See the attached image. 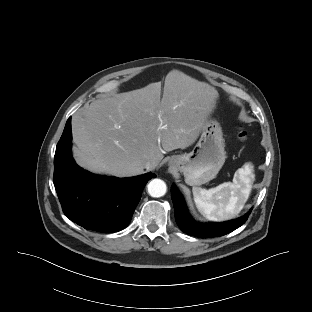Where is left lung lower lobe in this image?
<instances>
[{"instance_id": "left-lung-lower-lobe-1", "label": "left lung lower lobe", "mask_w": 312, "mask_h": 312, "mask_svg": "<svg viewBox=\"0 0 312 312\" xmlns=\"http://www.w3.org/2000/svg\"><path fill=\"white\" fill-rule=\"evenodd\" d=\"M171 194L174 204L175 219L179 228L188 235L199 238L226 235L243 225L251 213V211H249L243 217L222 223H200L189 215L183 197L175 185H172Z\"/></svg>"}]
</instances>
